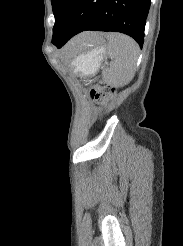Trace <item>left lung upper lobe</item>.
<instances>
[{
    "mask_svg": "<svg viewBox=\"0 0 183 246\" xmlns=\"http://www.w3.org/2000/svg\"><path fill=\"white\" fill-rule=\"evenodd\" d=\"M76 1L77 0H51L53 14L55 16L53 37L63 26Z\"/></svg>",
    "mask_w": 183,
    "mask_h": 246,
    "instance_id": "1",
    "label": "left lung upper lobe"
}]
</instances>
